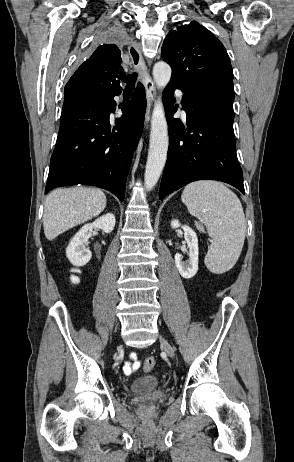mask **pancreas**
I'll return each mask as SVG.
<instances>
[{"mask_svg":"<svg viewBox=\"0 0 294 462\" xmlns=\"http://www.w3.org/2000/svg\"><path fill=\"white\" fill-rule=\"evenodd\" d=\"M196 228L199 232H204V227L201 224H196Z\"/></svg>","mask_w":294,"mask_h":462,"instance_id":"1","label":"pancreas"}]
</instances>
